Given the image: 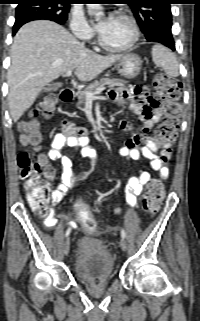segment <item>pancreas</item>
Segmentation results:
<instances>
[{"instance_id":"obj_1","label":"pancreas","mask_w":200,"mask_h":321,"mask_svg":"<svg viewBox=\"0 0 200 321\" xmlns=\"http://www.w3.org/2000/svg\"><path fill=\"white\" fill-rule=\"evenodd\" d=\"M125 84L126 82L124 80L117 79V78H114V79L102 78L99 81H94L89 86H87L84 91H81L77 94L78 104L82 105L86 102V95H85L86 92L97 91L106 85L111 88H114V87H124Z\"/></svg>"}]
</instances>
